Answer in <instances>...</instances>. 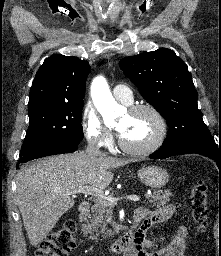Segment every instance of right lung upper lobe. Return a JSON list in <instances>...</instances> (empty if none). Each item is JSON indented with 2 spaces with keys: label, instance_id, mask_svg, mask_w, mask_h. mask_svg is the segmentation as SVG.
<instances>
[{
  "label": "right lung upper lobe",
  "instance_id": "cb5924a9",
  "mask_svg": "<svg viewBox=\"0 0 221 256\" xmlns=\"http://www.w3.org/2000/svg\"><path fill=\"white\" fill-rule=\"evenodd\" d=\"M89 71V63L77 57H48L33 80L28 110L47 105L84 103Z\"/></svg>",
  "mask_w": 221,
  "mask_h": 256
}]
</instances>
